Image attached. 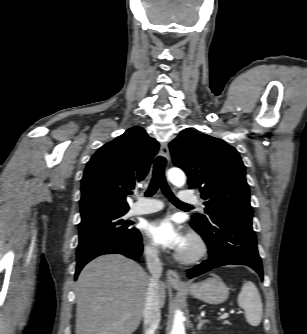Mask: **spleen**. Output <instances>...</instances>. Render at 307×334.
Returning <instances> with one entry per match:
<instances>
[{
  "label": "spleen",
  "instance_id": "obj_1",
  "mask_svg": "<svg viewBox=\"0 0 307 334\" xmlns=\"http://www.w3.org/2000/svg\"><path fill=\"white\" fill-rule=\"evenodd\" d=\"M238 305L244 309L247 322L251 326H258L262 319V301L259 291L251 281H244L238 295Z\"/></svg>",
  "mask_w": 307,
  "mask_h": 334
}]
</instances>
